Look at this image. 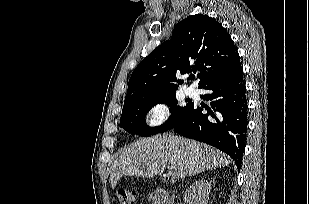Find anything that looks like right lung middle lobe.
<instances>
[{"instance_id":"obj_1","label":"right lung middle lobe","mask_w":309,"mask_h":204,"mask_svg":"<svg viewBox=\"0 0 309 204\" xmlns=\"http://www.w3.org/2000/svg\"><path fill=\"white\" fill-rule=\"evenodd\" d=\"M158 103L167 104L170 107L171 116L161 126L148 127L145 123V116ZM176 103L175 92L124 101L120 127L128 133L140 137H147L169 130L182 120L191 107V104L181 107L177 106Z\"/></svg>"}]
</instances>
